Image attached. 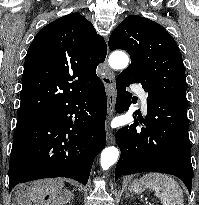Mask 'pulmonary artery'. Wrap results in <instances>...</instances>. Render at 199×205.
<instances>
[{
    "label": "pulmonary artery",
    "instance_id": "e3ab8cb5",
    "mask_svg": "<svg viewBox=\"0 0 199 205\" xmlns=\"http://www.w3.org/2000/svg\"><path fill=\"white\" fill-rule=\"evenodd\" d=\"M136 93L140 97L141 105H142V110L146 112L147 110V94L143 89L137 88L135 89Z\"/></svg>",
    "mask_w": 199,
    "mask_h": 205
}]
</instances>
